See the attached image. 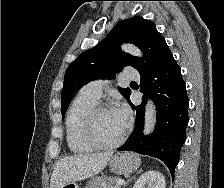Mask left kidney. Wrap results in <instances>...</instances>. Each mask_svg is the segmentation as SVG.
<instances>
[{
  "label": "left kidney",
  "mask_w": 224,
  "mask_h": 188,
  "mask_svg": "<svg viewBox=\"0 0 224 188\" xmlns=\"http://www.w3.org/2000/svg\"><path fill=\"white\" fill-rule=\"evenodd\" d=\"M165 178L162 173L150 170L143 173L135 182L133 188H165Z\"/></svg>",
  "instance_id": "obj_1"
}]
</instances>
